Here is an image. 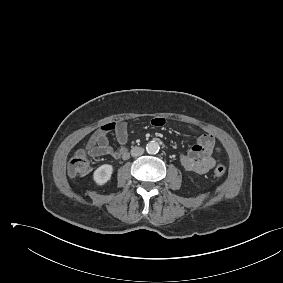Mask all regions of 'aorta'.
<instances>
[{
  "mask_svg": "<svg viewBox=\"0 0 283 283\" xmlns=\"http://www.w3.org/2000/svg\"><path fill=\"white\" fill-rule=\"evenodd\" d=\"M159 149H160L159 143L156 141H150L146 145V150L149 154H155L159 151Z\"/></svg>",
  "mask_w": 283,
  "mask_h": 283,
  "instance_id": "aorta-1",
  "label": "aorta"
}]
</instances>
